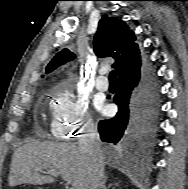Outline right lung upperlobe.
I'll list each match as a JSON object with an SVG mask.
<instances>
[{
    "mask_svg": "<svg viewBox=\"0 0 188 189\" xmlns=\"http://www.w3.org/2000/svg\"><path fill=\"white\" fill-rule=\"evenodd\" d=\"M134 32L126 23L115 17L104 15L99 21L98 30L94 36V51L100 58L113 57L118 78L131 75L140 70L143 60ZM75 58V54L63 49L55 55L46 67L50 73L60 65Z\"/></svg>",
    "mask_w": 188,
    "mask_h": 189,
    "instance_id": "1",
    "label": "right lung upper lobe"
}]
</instances>
